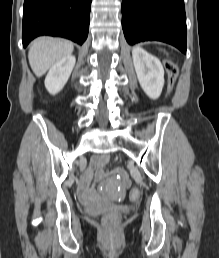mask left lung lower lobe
Listing matches in <instances>:
<instances>
[{"instance_id": "0a47b994", "label": "left lung lower lobe", "mask_w": 219, "mask_h": 258, "mask_svg": "<svg viewBox=\"0 0 219 258\" xmlns=\"http://www.w3.org/2000/svg\"><path fill=\"white\" fill-rule=\"evenodd\" d=\"M122 28L130 45L157 40L186 54L183 0H122Z\"/></svg>"}]
</instances>
